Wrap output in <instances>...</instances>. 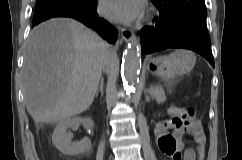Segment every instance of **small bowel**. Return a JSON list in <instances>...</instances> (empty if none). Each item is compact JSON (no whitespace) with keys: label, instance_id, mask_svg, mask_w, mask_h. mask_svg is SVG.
<instances>
[{"label":"small bowel","instance_id":"small-bowel-1","mask_svg":"<svg viewBox=\"0 0 242 160\" xmlns=\"http://www.w3.org/2000/svg\"><path fill=\"white\" fill-rule=\"evenodd\" d=\"M167 128H172L169 133ZM189 135L196 144L195 148H186L184 137ZM160 150L171 160H203L205 153V136L200 123L193 119L191 113H181L176 121H169L165 127L156 132Z\"/></svg>","mask_w":242,"mask_h":160}]
</instances>
